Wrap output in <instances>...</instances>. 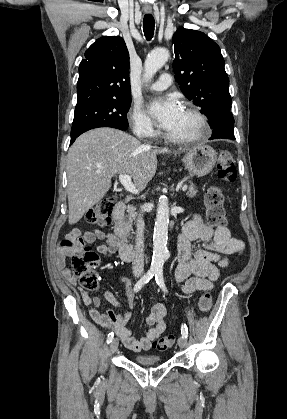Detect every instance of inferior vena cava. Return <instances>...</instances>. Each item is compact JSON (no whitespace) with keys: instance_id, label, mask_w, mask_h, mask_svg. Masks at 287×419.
<instances>
[{"instance_id":"1","label":"inferior vena cava","mask_w":287,"mask_h":419,"mask_svg":"<svg viewBox=\"0 0 287 419\" xmlns=\"http://www.w3.org/2000/svg\"><path fill=\"white\" fill-rule=\"evenodd\" d=\"M149 147V145H146ZM143 208L142 214H139L136 228V239H135V257L132 263V271L135 276H141L144 272V230L145 223L143 220Z\"/></svg>"}]
</instances>
